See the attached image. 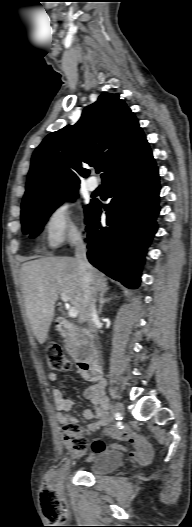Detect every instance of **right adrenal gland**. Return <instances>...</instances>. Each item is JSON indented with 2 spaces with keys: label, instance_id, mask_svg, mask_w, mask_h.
Here are the masks:
<instances>
[{
  "label": "right adrenal gland",
  "instance_id": "obj_1",
  "mask_svg": "<svg viewBox=\"0 0 192 527\" xmlns=\"http://www.w3.org/2000/svg\"><path fill=\"white\" fill-rule=\"evenodd\" d=\"M112 299H114V298H112V297H111V298H105V292L99 294V299H98V301H99V309H98V313H99V314L102 313L103 305H104L105 303L110 302Z\"/></svg>",
  "mask_w": 192,
  "mask_h": 527
}]
</instances>
